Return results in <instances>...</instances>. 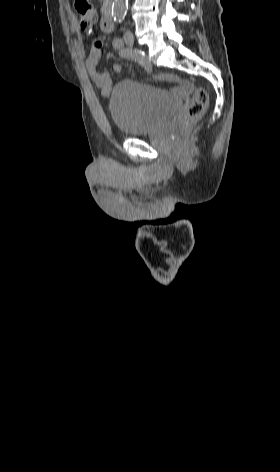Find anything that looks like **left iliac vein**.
I'll list each match as a JSON object with an SVG mask.
<instances>
[{
    "instance_id": "left-iliac-vein-1",
    "label": "left iliac vein",
    "mask_w": 280,
    "mask_h": 472,
    "mask_svg": "<svg viewBox=\"0 0 280 472\" xmlns=\"http://www.w3.org/2000/svg\"><path fill=\"white\" fill-rule=\"evenodd\" d=\"M123 39L127 45H132L134 43V37L130 32H126L123 36Z\"/></svg>"
}]
</instances>
